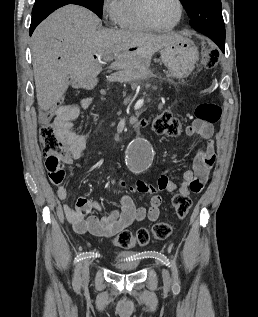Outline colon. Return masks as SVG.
Returning <instances> with one entry per match:
<instances>
[{"instance_id":"5ec220e1","label":"colon","mask_w":258,"mask_h":317,"mask_svg":"<svg viewBox=\"0 0 258 317\" xmlns=\"http://www.w3.org/2000/svg\"><path fill=\"white\" fill-rule=\"evenodd\" d=\"M217 63V56L214 51H210L205 56V64L211 68ZM221 109L217 104L211 102L201 103L196 108V116L199 120L214 124L220 118ZM55 116L46 113L42 117L43 127L40 131V142L43 151L52 156L62 158L68 157L65 143L55 126ZM152 127L155 132L168 136H177L180 133V123L178 119L169 111H163L154 116ZM192 201L188 195L176 194L172 198L171 208L179 219H184L189 214ZM173 231L170 221H162L154 224L150 229L140 228L136 232L123 230L113 238L114 245L128 249L134 246H144L150 240H164Z\"/></svg>"}]
</instances>
